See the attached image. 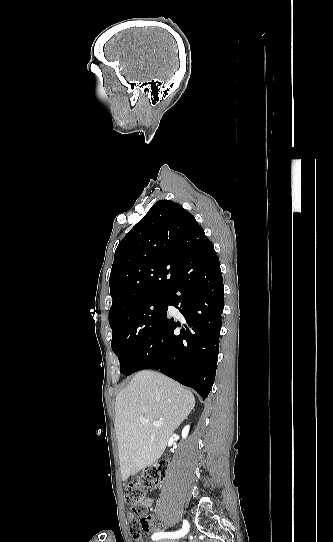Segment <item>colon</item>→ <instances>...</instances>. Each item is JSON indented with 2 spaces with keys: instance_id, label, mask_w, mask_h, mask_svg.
<instances>
[{
  "instance_id": "obj_1",
  "label": "colon",
  "mask_w": 333,
  "mask_h": 542,
  "mask_svg": "<svg viewBox=\"0 0 333 542\" xmlns=\"http://www.w3.org/2000/svg\"><path fill=\"white\" fill-rule=\"evenodd\" d=\"M161 475L154 465L146 468L145 472L134 482H130L127 489H124L126 503L137 506L131 507L128 513V520L131 522V531L136 541L141 540L140 526L145 522V513L148 511L147 489L160 484Z\"/></svg>"
}]
</instances>
